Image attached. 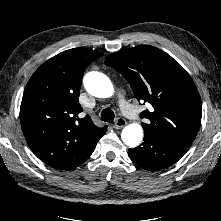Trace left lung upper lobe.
Segmentation results:
<instances>
[{
    "mask_svg": "<svg viewBox=\"0 0 221 221\" xmlns=\"http://www.w3.org/2000/svg\"><path fill=\"white\" fill-rule=\"evenodd\" d=\"M105 64L129 82L137 100L153 108L141 113L144 134L182 148L193 143L201 123L202 105L198 90L186 72L164 51L141 45L108 56Z\"/></svg>",
    "mask_w": 221,
    "mask_h": 221,
    "instance_id": "5c2ea615",
    "label": "left lung upper lobe"
}]
</instances>
